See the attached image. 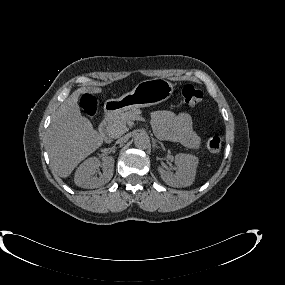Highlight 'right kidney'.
Returning <instances> with one entry per match:
<instances>
[{
  "instance_id": "ca27d5eb",
  "label": "right kidney",
  "mask_w": 285,
  "mask_h": 285,
  "mask_svg": "<svg viewBox=\"0 0 285 285\" xmlns=\"http://www.w3.org/2000/svg\"><path fill=\"white\" fill-rule=\"evenodd\" d=\"M103 168V173L96 177L94 176L96 169ZM114 170V158L105 157L102 162L96 157H90L85 160L76 170L74 181L75 184L82 188H98L108 183Z\"/></svg>"
}]
</instances>
